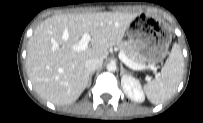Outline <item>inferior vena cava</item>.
I'll use <instances>...</instances> for the list:
<instances>
[{"label": "inferior vena cava", "instance_id": "obj_1", "mask_svg": "<svg viewBox=\"0 0 203 123\" xmlns=\"http://www.w3.org/2000/svg\"><path fill=\"white\" fill-rule=\"evenodd\" d=\"M103 61L98 58H90L85 61V67L89 72H94L96 69L101 67Z\"/></svg>", "mask_w": 203, "mask_h": 123}]
</instances>
